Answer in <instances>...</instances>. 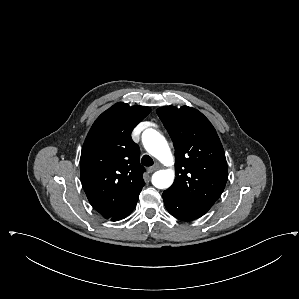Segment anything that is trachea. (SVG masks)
<instances>
[{
  "mask_svg": "<svg viewBox=\"0 0 299 299\" xmlns=\"http://www.w3.org/2000/svg\"><path fill=\"white\" fill-rule=\"evenodd\" d=\"M141 163L144 166H152L154 164L153 159L149 155H144L141 159Z\"/></svg>",
  "mask_w": 299,
  "mask_h": 299,
  "instance_id": "1",
  "label": "trachea"
}]
</instances>
